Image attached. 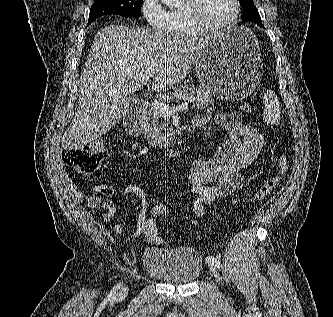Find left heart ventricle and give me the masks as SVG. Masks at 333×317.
<instances>
[{"label": "left heart ventricle", "mask_w": 333, "mask_h": 317, "mask_svg": "<svg viewBox=\"0 0 333 317\" xmlns=\"http://www.w3.org/2000/svg\"><path fill=\"white\" fill-rule=\"evenodd\" d=\"M201 16L209 24L227 21L234 13L233 0H202Z\"/></svg>", "instance_id": "left-heart-ventricle-1"}]
</instances>
